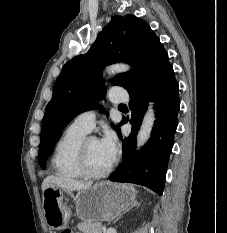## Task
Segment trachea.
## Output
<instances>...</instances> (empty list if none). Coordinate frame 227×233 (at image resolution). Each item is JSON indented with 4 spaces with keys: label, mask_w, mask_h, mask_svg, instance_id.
I'll return each instance as SVG.
<instances>
[{
    "label": "trachea",
    "mask_w": 227,
    "mask_h": 233,
    "mask_svg": "<svg viewBox=\"0 0 227 233\" xmlns=\"http://www.w3.org/2000/svg\"><path fill=\"white\" fill-rule=\"evenodd\" d=\"M119 106H125L124 104H120Z\"/></svg>",
    "instance_id": "trachea-1"
}]
</instances>
